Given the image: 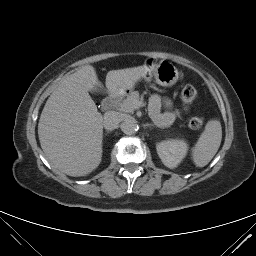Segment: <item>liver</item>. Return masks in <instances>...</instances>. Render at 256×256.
Returning <instances> with one entry per match:
<instances>
[{"instance_id":"1","label":"liver","mask_w":256,"mask_h":256,"mask_svg":"<svg viewBox=\"0 0 256 256\" xmlns=\"http://www.w3.org/2000/svg\"><path fill=\"white\" fill-rule=\"evenodd\" d=\"M146 66L109 71L106 93L119 97L143 78ZM102 90L95 68L85 65L66 75L48 98L38 123V136L54 168L78 177L91 173L102 159L103 117L89 91Z\"/></svg>"}]
</instances>
